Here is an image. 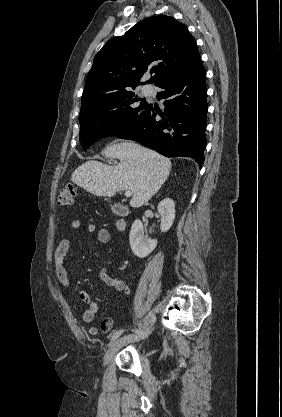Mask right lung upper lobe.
Masks as SVG:
<instances>
[{"mask_svg":"<svg viewBox=\"0 0 282 417\" xmlns=\"http://www.w3.org/2000/svg\"><path fill=\"white\" fill-rule=\"evenodd\" d=\"M200 60L194 37L171 16L147 18L109 40L94 58L82 100L163 80ZM154 73L147 82L143 74Z\"/></svg>","mask_w":282,"mask_h":417,"instance_id":"1","label":"right lung upper lobe"}]
</instances>
